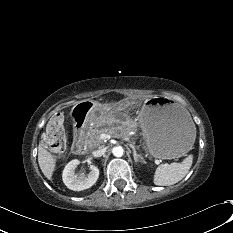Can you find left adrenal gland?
<instances>
[{
	"label": "left adrenal gland",
	"mask_w": 233,
	"mask_h": 233,
	"mask_svg": "<svg viewBox=\"0 0 233 233\" xmlns=\"http://www.w3.org/2000/svg\"><path fill=\"white\" fill-rule=\"evenodd\" d=\"M130 147L133 150V157H134L135 162L136 163H138V162L144 163L145 161H144L143 157L137 153V151L135 149V146L134 145H130Z\"/></svg>",
	"instance_id": "1"
}]
</instances>
